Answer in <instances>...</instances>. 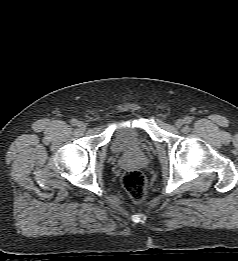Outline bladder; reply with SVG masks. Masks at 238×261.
<instances>
[{"instance_id":"obj_1","label":"bladder","mask_w":238,"mask_h":261,"mask_svg":"<svg viewBox=\"0 0 238 261\" xmlns=\"http://www.w3.org/2000/svg\"><path fill=\"white\" fill-rule=\"evenodd\" d=\"M144 143L136 129L126 124L118 125L110 140V150L115 154L141 151Z\"/></svg>"}]
</instances>
